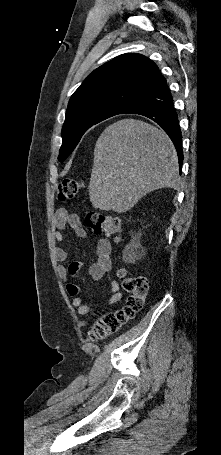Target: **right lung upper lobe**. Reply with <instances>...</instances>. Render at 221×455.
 Wrapping results in <instances>:
<instances>
[{"instance_id": "obj_1", "label": "right lung upper lobe", "mask_w": 221, "mask_h": 455, "mask_svg": "<svg viewBox=\"0 0 221 455\" xmlns=\"http://www.w3.org/2000/svg\"><path fill=\"white\" fill-rule=\"evenodd\" d=\"M161 77L154 62L141 54H123L94 70L71 96L66 113L92 103L109 102L124 109L153 88Z\"/></svg>"}]
</instances>
